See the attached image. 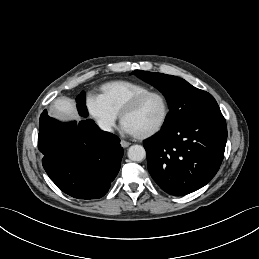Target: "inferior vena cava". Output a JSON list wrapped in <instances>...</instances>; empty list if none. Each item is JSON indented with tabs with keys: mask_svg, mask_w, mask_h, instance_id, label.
Instances as JSON below:
<instances>
[{
	"mask_svg": "<svg viewBox=\"0 0 259 259\" xmlns=\"http://www.w3.org/2000/svg\"><path fill=\"white\" fill-rule=\"evenodd\" d=\"M98 126L102 130H104V131H108V132H112L113 131L111 125L108 122H106V121L99 120L98 121Z\"/></svg>",
	"mask_w": 259,
	"mask_h": 259,
	"instance_id": "inferior-vena-cava-1",
	"label": "inferior vena cava"
}]
</instances>
